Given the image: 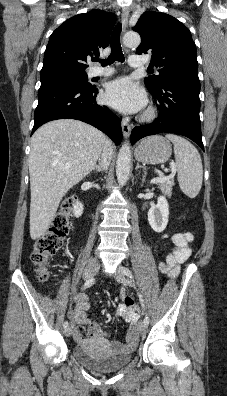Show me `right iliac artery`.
<instances>
[{
    "mask_svg": "<svg viewBox=\"0 0 227 396\" xmlns=\"http://www.w3.org/2000/svg\"><path fill=\"white\" fill-rule=\"evenodd\" d=\"M94 282H95V279H94V278L88 279V280L85 282V284H84V289H85V288H88V287H90V286H92V285L94 284ZM63 327H64V328L68 327V321H65V322L63 323Z\"/></svg>",
    "mask_w": 227,
    "mask_h": 396,
    "instance_id": "1",
    "label": "right iliac artery"
}]
</instances>
